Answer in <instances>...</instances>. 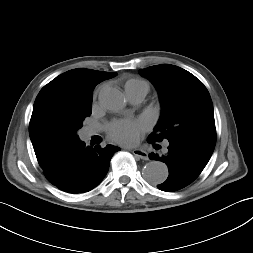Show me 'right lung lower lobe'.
<instances>
[{"label": "right lung lower lobe", "mask_w": 253, "mask_h": 253, "mask_svg": "<svg viewBox=\"0 0 253 253\" xmlns=\"http://www.w3.org/2000/svg\"><path fill=\"white\" fill-rule=\"evenodd\" d=\"M119 150L113 145L86 147L79 140L59 157L50 172L44 173L60 190L73 194L88 192L104 179L114 152Z\"/></svg>", "instance_id": "98d812e1"}]
</instances>
